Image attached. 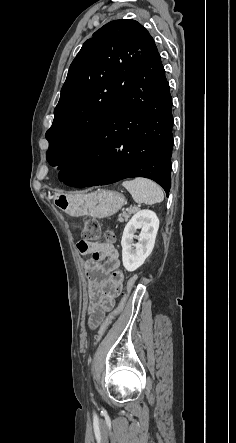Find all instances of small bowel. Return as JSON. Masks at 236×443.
I'll use <instances>...</instances> for the list:
<instances>
[{"mask_svg":"<svg viewBox=\"0 0 236 443\" xmlns=\"http://www.w3.org/2000/svg\"><path fill=\"white\" fill-rule=\"evenodd\" d=\"M83 254H91L92 259L86 261L85 269L89 275L88 296L90 301L91 328L99 326L106 312L115 305V298L120 294L124 281V273L120 269L117 248L105 242L83 243Z\"/></svg>","mask_w":236,"mask_h":443,"instance_id":"obj_1","label":"small bowel"}]
</instances>
